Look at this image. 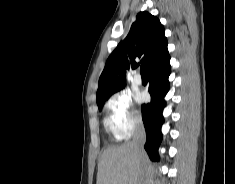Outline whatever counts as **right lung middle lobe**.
Masks as SVG:
<instances>
[{"label":"right lung middle lobe","instance_id":"obj_1","mask_svg":"<svg viewBox=\"0 0 235 184\" xmlns=\"http://www.w3.org/2000/svg\"><path fill=\"white\" fill-rule=\"evenodd\" d=\"M123 88H124V87H122V88H118V89L114 90V91H113V93H115V92H117V91H120V90H121V89H123ZM102 106H103V105H99V106H98V107H99V109H101V108H102Z\"/></svg>","mask_w":235,"mask_h":184}]
</instances>
